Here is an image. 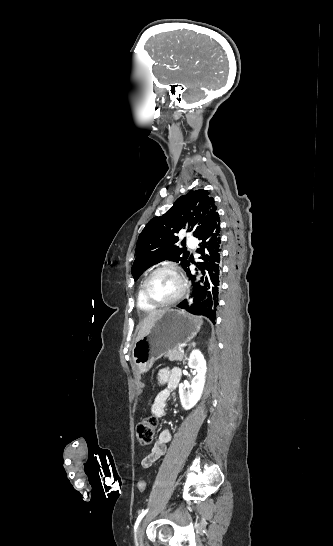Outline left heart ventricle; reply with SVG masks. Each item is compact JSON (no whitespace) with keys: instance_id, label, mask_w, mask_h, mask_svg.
Masks as SVG:
<instances>
[{"instance_id":"obj_1","label":"left heart ventricle","mask_w":333,"mask_h":546,"mask_svg":"<svg viewBox=\"0 0 333 546\" xmlns=\"http://www.w3.org/2000/svg\"><path fill=\"white\" fill-rule=\"evenodd\" d=\"M180 290L177 276L171 271L156 273L148 284L149 294L158 301H168L174 298Z\"/></svg>"}]
</instances>
